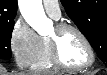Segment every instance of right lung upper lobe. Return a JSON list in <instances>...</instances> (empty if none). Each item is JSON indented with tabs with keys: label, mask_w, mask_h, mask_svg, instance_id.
I'll return each mask as SVG.
<instances>
[{
	"label": "right lung upper lobe",
	"mask_w": 107,
	"mask_h": 75,
	"mask_svg": "<svg viewBox=\"0 0 107 75\" xmlns=\"http://www.w3.org/2000/svg\"><path fill=\"white\" fill-rule=\"evenodd\" d=\"M17 12V0H0V23L13 22Z\"/></svg>",
	"instance_id": "right-lung-upper-lobe-1"
}]
</instances>
